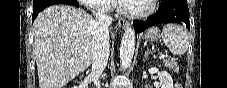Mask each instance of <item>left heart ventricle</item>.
Returning <instances> with one entry per match:
<instances>
[{"label": "left heart ventricle", "instance_id": "1", "mask_svg": "<svg viewBox=\"0 0 227 88\" xmlns=\"http://www.w3.org/2000/svg\"><path fill=\"white\" fill-rule=\"evenodd\" d=\"M148 6H149V4H148L147 0H136L128 5H125V7L127 9H132V10H137V11L146 10L148 8Z\"/></svg>", "mask_w": 227, "mask_h": 88}]
</instances>
